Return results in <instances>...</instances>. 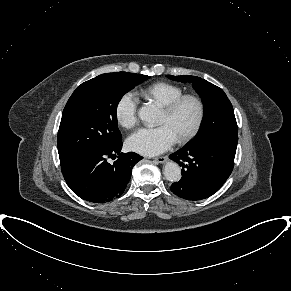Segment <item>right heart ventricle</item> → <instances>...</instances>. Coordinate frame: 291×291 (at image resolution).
I'll return each mask as SVG.
<instances>
[{
	"mask_svg": "<svg viewBox=\"0 0 291 291\" xmlns=\"http://www.w3.org/2000/svg\"><path fill=\"white\" fill-rule=\"evenodd\" d=\"M139 94L157 105L164 107L183 94V89L169 82H157L139 91Z\"/></svg>",
	"mask_w": 291,
	"mask_h": 291,
	"instance_id": "right-heart-ventricle-1",
	"label": "right heart ventricle"
}]
</instances>
